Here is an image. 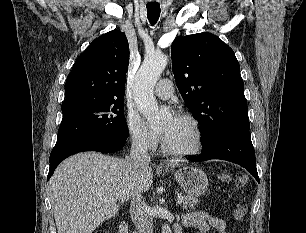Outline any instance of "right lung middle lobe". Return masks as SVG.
Masks as SVG:
<instances>
[{"label": "right lung middle lobe", "instance_id": "obj_1", "mask_svg": "<svg viewBox=\"0 0 306 233\" xmlns=\"http://www.w3.org/2000/svg\"><path fill=\"white\" fill-rule=\"evenodd\" d=\"M124 100L80 98L62 104L63 119L55 146L76 138H127Z\"/></svg>", "mask_w": 306, "mask_h": 233}]
</instances>
